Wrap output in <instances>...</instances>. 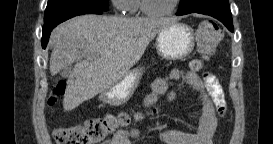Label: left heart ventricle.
<instances>
[{"label":"left heart ventricle","mask_w":273,"mask_h":144,"mask_svg":"<svg viewBox=\"0 0 273 144\" xmlns=\"http://www.w3.org/2000/svg\"><path fill=\"white\" fill-rule=\"evenodd\" d=\"M174 0H148V5L154 10H167L171 7Z\"/></svg>","instance_id":"left-heart-ventricle-1"}]
</instances>
